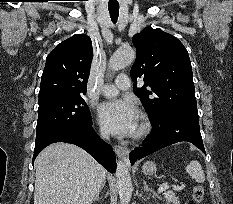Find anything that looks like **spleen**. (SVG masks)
<instances>
[{"label":"spleen","instance_id":"spleen-1","mask_svg":"<svg viewBox=\"0 0 233 204\" xmlns=\"http://www.w3.org/2000/svg\"><path fill=\"white\" fill-rule=\"evenodd\" d=\"M148 163V162H147ZM147 163L143 166L145 170ZM186 172L196 180L198 183H203L205 181V174L200 165L196 160H192L186 167Z\"/></svg>","mask_w":233,"mask_h":204}]
</instances>
